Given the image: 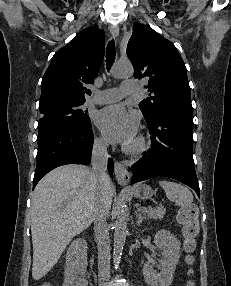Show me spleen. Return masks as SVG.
I'll return each mask as SVG.
<instances>
[{
  "label": "spleen",
  "instance_id": "3e777b00",
  "mask_svg": "<svg viewBox=\"0 0 231 286\" xmlns=\"http://www.w3.org/2000/svg\"><path fill=\"white\" fill-rule=\"evenodd\" d=\"M159 185L165 191L166 197L170 201L175 202L178 206L183 207L192 204L193 195L187 187L179 183L166 180L159 181Z\"/></svg>",
  "mask_w": 231,
  "mask_h": 286
}]
</instances>
